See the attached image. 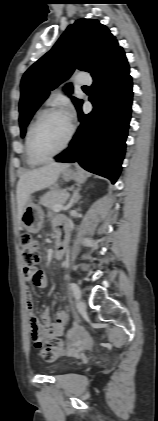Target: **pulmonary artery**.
I'll return each mask as SVG.
<instances>
[{
	"label": "pulmonary artery",
	"mask_w": 158,
	"mask_h": 421,
	"mask_svg": "<svg viewBox=\"0 0 158 421\" xmlns=\"http://www.w3.org/2000/svg\"><path fill=\"white\" fill-rule=\"evenodd\" d=\"M75 80L78 84H82V85H88V84H91L92 82L91 77L85 74L76 75Z\"/></svg>",
	"instance_id": "pulmonary-artery-1"
}]
</instances>
